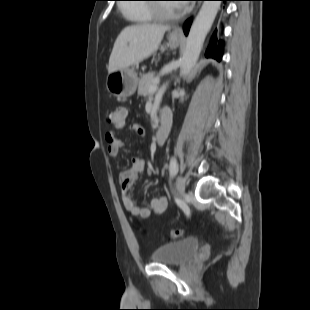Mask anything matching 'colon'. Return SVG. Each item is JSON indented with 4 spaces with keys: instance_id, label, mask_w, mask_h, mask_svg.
Segmentation results:
<instances>
[{
    "instance_id": "1",
    "label": "colon",
    "mask_w": 310,
    "mask_h": 310,
    "mask_svg": "<svg viewBox=\"0 0 310 310\" xmlns=\"http://www.w3.org/2000/svg\"><path fill=\"white\" fill-rule=\"evenodd\" d=\"M127 109L123 105H118L106 112V121L117 129H121L125 125ZM183 235L181 229H173L168 232L170 239H178Z\"/></svg>"
}]
</instances>
